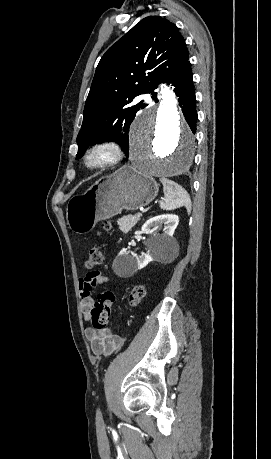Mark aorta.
<instances>
[{
	"label": "aorta",
	"instance_id": "1",
	"mask_svg": "<svg viewBox=\"0 0 271 459\" xmlns=\"http://www.w3.org/2000/svg\"><path fill=\"white\" fill-rule=\"evenodd\" d=\"M160 102L135 121L129 157L133 168L147 177L166 178L192 164L195 139L177 108L173 91L161 85Z\"/></svg>",
	"mask_w": 271,
	"mask_h": 459
}]
</instances>
